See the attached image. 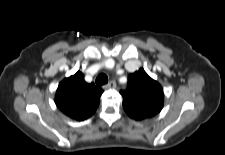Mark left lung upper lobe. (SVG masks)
Masks as SVG:
<instances>
[{
    "label": "left lung upper lobe",
    "instance_id": "obj_1",
    "mask_svg": "<svg viewBox=\"0 0 225 155\" xmlns=\"http://www.w3.org/2000/svg\"><path fill=\"white\" fill-rule=\"evenodd\" d=\"M120 93L125 112L135 120L155 116L163 108V89L143 68L128 76L127 89Z\"/></svg>",
    "mask_w": 225,
    "mask_h": 155
}]
</instances>
